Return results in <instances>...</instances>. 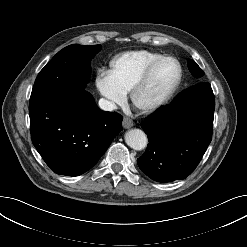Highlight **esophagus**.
<instances>
[{
    "label": "esophagus",
    "instance_id": "esophagus-1",
    "mask_svg": "<svg viewBox=\"0 0 247 247\" xmlns=\"http://www.w3.org/2000/svg\"><path fill=\"white\" fill-rule=\"evenodd\" d=\"M122 124L125 129H129L133 126V121L128 117H124Z\"/></svg>",
    "mask_w": 247,
    "mask_h": 247
}]
</instances>
